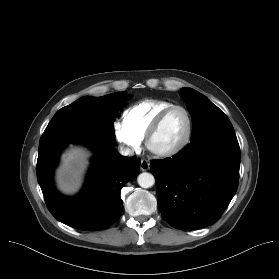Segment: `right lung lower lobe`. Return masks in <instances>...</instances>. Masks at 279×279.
<instances>
[{
  "label": "right lung lower lobe",
  "instance_id": "obj_1",
  "mask_svg": "<svg viewBox=\"0 0 279 279\" xmlns=\"http://www.w3.org/2000/svg\"><path fill=\"white\" fill-rule=\"evenodd\" d=\"M79 142L92 148L96 157L80 195H60L53 184V171L62 148ZM111 139L82 124L45 131L39 142L37 179L52 215L62 223L86 231L103 230L114 224L123 211L122 187L134 179L140 159L123 157L110 147Z\"/></svg>",
  "mask_w": 279,
  "mask_h": 279
}]
</instances>
